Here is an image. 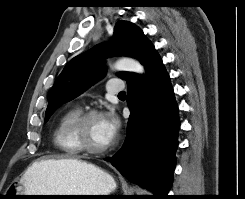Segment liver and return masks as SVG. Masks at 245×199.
Here are the masks:
<instances>
[{
	"label": "liver",
	"mask_w": 245,
	"mask_h": 199,
	"mask_svg": "<svg viewBox=\"0 0 245 199\" xmlns=\"http://www.w3.org/2000/svg\"><path fill=\"white\" fill-rule=\"evenodd\" d=\"M79 157L58 156L55 158H44L34 162L26 171L23 178L28 180L32 178L34 181L44 178V176L56 170L65 167L67 164L81 162Z\"/></svg>",
	"instance_id": "obj_1"
}]
</instances>
